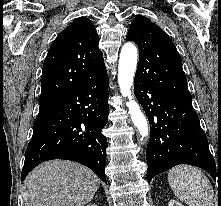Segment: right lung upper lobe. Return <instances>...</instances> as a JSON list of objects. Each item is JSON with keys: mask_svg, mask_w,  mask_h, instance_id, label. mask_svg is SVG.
Returning a JSON list of instances; mask_svg holds the SVG:
<instances>
[{"mask_svg": "<svg viewBox=\"0 0 221 206\" xmlns=\"http://www.w3.org/2000/svg\"><path fill=\"white\" fill-rule=\"evenodd\" d=\"M92 22L80 17L51 45L43 64L39 104L79 90L106 73L103 53Z\"/></svg>", "mask_w": 221, "mask_h": 206, "instance_id": "right-lung-upper-lobe-1", "label": "right lung upper lobe"}]
</instances>
